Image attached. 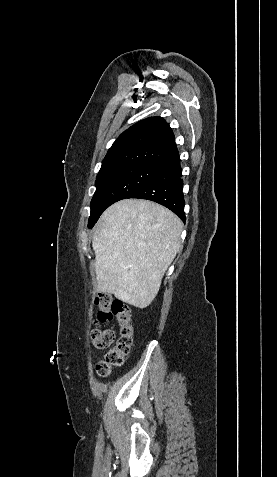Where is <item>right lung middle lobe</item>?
Segmentation results:
<instances>
[{
  "instance_id": "obj_1",
  "label": "right lung middle lobe",
  "mask_w": 277,
  "mask_h": 477,
  "mask_svg": "<svg viewBox=\"0 0 277 477\" xmlns=\"http://www.w3.org/2000/svg\"><path fill=\"white\" fill-rule=\"evenodd\" d=\"M159 170L158 167L132 164L98 173L96 191L91 200L88 227L92 228L103 211L113 203L128 198Z\"/></svg>"
}]
</instances>
